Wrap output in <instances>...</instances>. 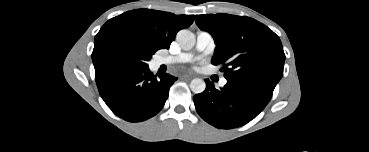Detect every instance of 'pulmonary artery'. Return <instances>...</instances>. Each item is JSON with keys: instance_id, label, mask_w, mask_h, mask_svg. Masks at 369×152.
Masks as SVG:
<instances>
[{"instance_id": "obj_1", "label": "pulmonary artery", "mask_w": 369, "mask_h": 152, "mask_svg": "<svg viewBox=\"0 0 369 152\" xmlns=\"http://www.w3.org/2000/svg\"><path fill=\"white\" fill-rule=\"evenodd\" d=\"M215 48V42L212 35L206 31H199L196 35L195 49L191 52H181L176 55L163 56L158 58L157 64H175V63H186L189 62L195 52L211 53ZM227 80L222 78L220 84L226 85Z\"/></svg>"}]
</instances>
